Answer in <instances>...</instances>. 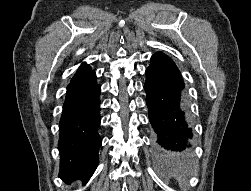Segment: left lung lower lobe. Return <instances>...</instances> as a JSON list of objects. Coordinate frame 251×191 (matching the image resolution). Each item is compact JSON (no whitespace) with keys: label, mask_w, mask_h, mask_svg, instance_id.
Segmentation results:
<instances>
[{"label":"left lung lower lobe","mask_w":251,"mask_h":191,"mask_svg":"<svg viewBox=\"0 0 251 191\" xmlns=\"http://www.w3.org/2000/svg\"><path fill=\"white\" fill-rule=\"evenodd\" d=\"M146 104L155 135V151L164 157H181L191 152L185 84L175 63L164 53H155L146 69Z\"/></svg>","instance_id":"obj_1"}]
</instances>
